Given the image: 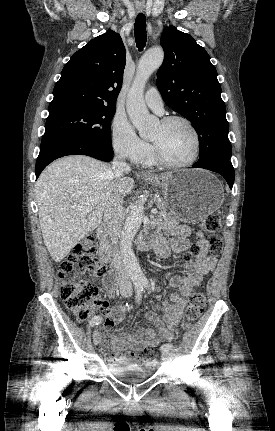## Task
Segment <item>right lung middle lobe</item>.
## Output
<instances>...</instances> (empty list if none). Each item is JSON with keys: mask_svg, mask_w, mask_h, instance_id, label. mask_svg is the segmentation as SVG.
Wrapping results in <instances>:
<instances>
[{"mask_svg": "<svg viewBox=\"0 0 275 431\" xmlns=\"http://www.w3.org/2000/svg\"><path fill=\"white\" fill-rule=\"evenodd\" d=\"M116 107H78L50 112L46 120L44 137L68 135L111 143L110 123Z\"/></svg>", "mask_w": 275, "mask_h": 431, "instance_id": "1", "label": "right lung middle lobe"}]
</instances>
